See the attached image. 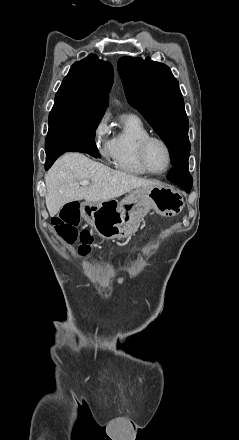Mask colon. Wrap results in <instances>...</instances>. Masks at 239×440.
I'll use <instances>...</instances> for the list:
<instances>
[{"instance_id":"5ec220e1","label":"colon","mask_w":239,"mask_h":440,"mask_svg":"<svg viewBox=\"0 0 239 440\" xmlns=\"http://www.w3.org/2000/svg\"><path fill=\"white\" fill-rule=\"evenodd\" d=\"M79 222V205L74 202L66 204L52 219L56 233L65 242L74 243L79 240L78 252L82 257H85L90 253L93 237L88 229L78 230Z\"/></svg>"}]
</instances>
